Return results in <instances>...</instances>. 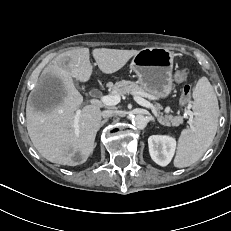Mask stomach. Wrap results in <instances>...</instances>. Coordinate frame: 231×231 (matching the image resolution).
Here are the masks:
<instances>
[{
	"instance_id": "obj_1",
	"label": "stomach",
	"mask_w": 231,
	"mask_h": 231,
	"mask_svg": "<svg viewBox=\"0 0 231 231\" xmlns=\"http://www.w3.org/2000/svg\"><path fill=\"white\" fill-rule=\"evenodd\" d=\"M173 53L161 47L144 48L133 58L131 67L139 85L157 98H167L173 90Z\"/></svg>"
}]
</instances>
